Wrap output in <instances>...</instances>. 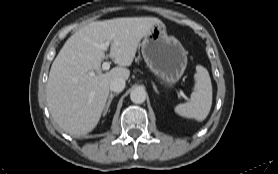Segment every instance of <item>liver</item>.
Here are the masks:
<instances>
[{"label": "liver", "instance_id": "1", "mask_svg": "<svg viewBox=\"0 0 278 174\" xmlns=\"http://www.w3.org/2000/svg\"><path fill=\"white\" fill-rule=\"evenodd\" d=\"M156 17H122L91 22L75 32L52 63L46 86L47 105L56 123L73 135H85L98 124L115 78L127 80L141 39ZM117 67L101 72L105 50ZM95 71L94 76L89 72Z\"/></svg>", "mask_w": 278, "mask_h": 174}]
</instances>
